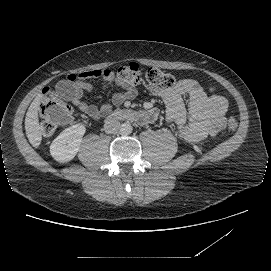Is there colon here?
Returning a JSON list of instances; mask_svg holds the SVG:
<instances>
[{"mask_svg": "<svg viewBox=\"0 0 271 271\" xmlns=\"http://www.w3.org/2000/svg\"><path fill=\"white\" fill-rule=\"evenodd\" d=\"M118 77L131 85L140 81V70L136 63H129L118 70ZM174 78L171 74L157 68H150L146 73V87L153 95L161 94L174 85ZM74 115L72 107L58 98L54 90L46 87L40 98L39 122L44 135H51L59 126L68 124ZM227 127L235 131L237 122L229 118Z\"/></svg>", "mask_w": 271, "mask_h": 271, "instance_id": "obj_1", "label": "colon"}]
</instances>
